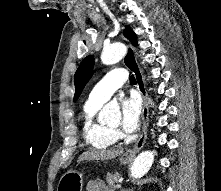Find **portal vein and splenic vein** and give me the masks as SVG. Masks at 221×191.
Returning a JSON list of instances; mask_svg holds the SVG:
<instances>
[{
  "label": "portal vein and splenic vein",
  "instance_id": "portal-vein-and-splenic-vein-1",
  "mask_svg": "<svg viewBox=\"0 0 221 191\" xmlns=\"http://www.w3.org/2000/svg\"><path fill=\"white\" fill-rule=\"evenodd\" d=\"M116 187H117V188H120V187H121V184H117Z\"/></svg>",
  "mask_w": 221,
  "mask_h": 191
}]
</instances>
